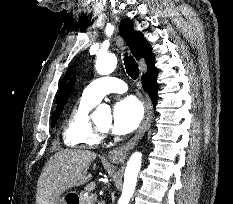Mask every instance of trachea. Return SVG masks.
Wrapping results in <instances>:
<instances>
[{
  "instance_id": "obj_1",
  "label": "trachea",
  "mask_w": 233,
  "mask_h": 204,
  "mask_svg": "<svg viewBox=\"0 0 233 204\" xmlns=\"http://www.w3.org/2000/svg\"><path fill=\"white\" fill-rule=\"evenodd\" d=\"M124 64L127 71V74L134 80H136L139 76V69L136 61L132 56H127L125 54Z\"/></svg>"
}]
</instances>
